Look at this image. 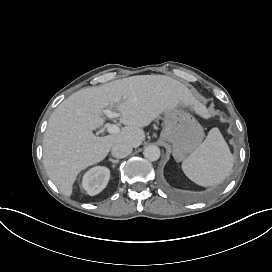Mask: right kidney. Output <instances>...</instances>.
Returning <instances> with one entry per match:
<instances>
[{"label":"right kidney","mask_w":272,"mask_h":272,"mask_svg":"<svg viewBox=\"0 0 272 272\" xmlns=\"http://www.w3.org/2000/svg\"><path fill=\"white\" fill-rule=\"evenodd\" d=\"M110 170L107 167L95 166L88 170L82 179V187L90 196L97 195L107 185Z\"/></svg>","instance_id":"obj_1"}]
</instances>
